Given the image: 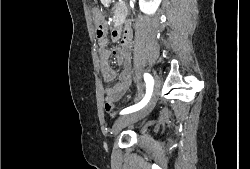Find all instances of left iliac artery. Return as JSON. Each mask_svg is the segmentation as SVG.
<instances>
[{
    "mask_svg": "<svg viewBox=\"0 0 250 169\" xmlns=\"http://www.w3.org/2000/svg\"><path fill=\"white\" fill-rule=\"evenodd\" d=\"M144 80L146 82V94H145V97L139 103H137V104H135L133 106H130L128 108L123 109L120 112L121 115L132 113V112L140 110L150 100L152 92H153L154 80H153V77L149 73H144Z\"/></svg>",
    "mask_w": 250,
    "mask_h": 169,
    "instance_id": "44dca946",
    "label": "left iliac artery"
}]
</instances>
